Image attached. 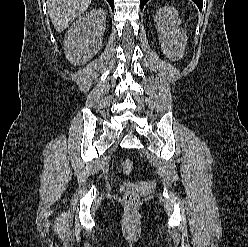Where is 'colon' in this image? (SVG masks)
<instances>
[{"instance_id": "1", "label": "colon", "mask_w": 248, "mask_h": 247, "mask_svg": "<svg viewBox=\"0 0 248 247\" xmlns=\"http://www.w3.org/2000/svg\"><path fill=\"white\" fill-rule=\"evenodd\" d=\"M119 170L125 175L130 174L133 170L132 161L130 160L122 161ZM122 201L127 207H135L139 204L140 197L135 191H127L124 193L122 197Z\"/></svg>"}]
</instances>
